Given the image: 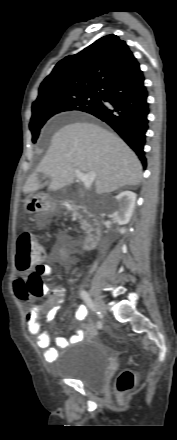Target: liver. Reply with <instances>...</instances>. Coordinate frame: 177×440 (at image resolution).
Here are the masks:
<instances>
[{"label":"liver","mask_w":177,"mask_h":440,"mask_svg":"<svg viewBox=\"0 0 177 440\" xmlns=\"http://www.w3.org/2000/svg\"><path fill=\"white\" fill-rule=\"evenodd\" d=\"M75 168L95 172L96 193H110L124 186H136L142 165L136 154L115 133L88 122L68 124L52 137L51 145L23 186L25 194L41 188L39 174L51 178L48 187L57 191L75 180Z\"/></svg>","instance_id":"liver-1"}]
</instances>
